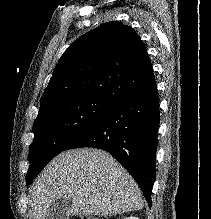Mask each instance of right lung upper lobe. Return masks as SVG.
<instances>
[{
	"label": "right lung upper lobe",
	"mask_w": 211,
	"mask_h": 219,
	"mask_svg": "<svg viewBox=\"0 0 211 219\" xmlns=\"http://www.w3.org/2000/svg\"><path fill=\"white\" fill-rule=\"evenodd\" d=\"M154 79L147 50L133 28L110 21L75 40L58 61L39 115L69 99L100 97L117 102Z\"/></svg>",
	"instance_id": "obj_1"
}]
</instances>
